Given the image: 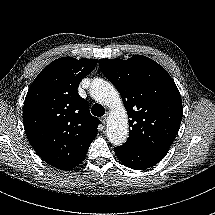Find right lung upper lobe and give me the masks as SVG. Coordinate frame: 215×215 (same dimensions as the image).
Segmentation results:
<instances>
[{
  "label": "right lung upper lobe",
  "mask_w": 215,
  "mask_h": 215,
  "mask_svg": "<svg viewBox=\"0 0 215 215\" xmlns=\"http://www.w3.org/2000/svg\"><path fill=\"white\" fill-rule=\"evenodd\" d=\"M96 64L97 59L61 57L39 73L27 92L26 135L37 154L53 167L70 170L79 165L97 135L100 121L77 91Z\"/></svg>",
  "instance_id": "obj_1"
}]
</instances>
